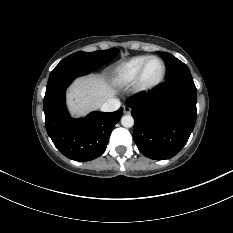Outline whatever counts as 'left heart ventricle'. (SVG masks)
I'll list each match as a JSON object with an SVG mask.
<instances>
[{"label": "left heart ventricle", "mask_w": 233, "mask_h": 233, "mask_svg": "<svg viewBox=\"0 0 233 233\" xmlns=\"http://www.w3.org/2000/svg\"><path fill=\"white\" fill-rule=\"evenodd\" d=\"M162 73V64L157 59H152L148 62L145 73L144 81L146 83H152L159 79Z\"/></svg>", "instance_id": "left-heart-ventricle-1"}]
</instances>
